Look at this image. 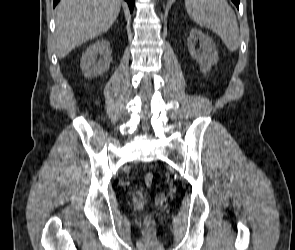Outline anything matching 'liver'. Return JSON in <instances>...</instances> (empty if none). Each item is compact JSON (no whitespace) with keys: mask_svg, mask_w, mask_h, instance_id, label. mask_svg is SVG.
Segmentation results:
<instances>
[{"mask_svg":"<svg viewBox=\"0 0 295 250\" xmlns=\"http://www.w3.org/2000/svg\"><path fill=\"white\" fill-rule=\"evenodd\" d=\"M120 0H61L56 7V50L65 57L105 32L120 12Z\"/></svg>","mask_w":295,"mask_h":250,"instance_id":"1","label":"liver"}]
</instances>
